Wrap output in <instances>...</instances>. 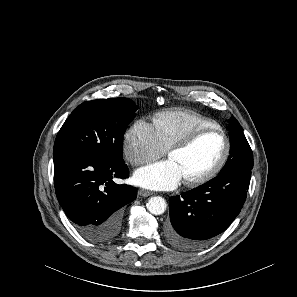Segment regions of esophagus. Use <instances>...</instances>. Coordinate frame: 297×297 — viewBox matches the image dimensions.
<instances>
[{
    "label": "esophagus",
    "mask_w": 297,
    "mask_h": 297,
    "mask_svg": "<svg viewBox=\"0 0 297 297\" xmlns=\"http://www.w3.org/2000/svg\"><path fill=\"white\" fill-rule=\"evenodd\" d=\"M138 194L142 197H148V196L152 195L153 193L148 190L140 189L138 191Z\"/></svg>",
    "instance_id": "1"
}]
</instances>
